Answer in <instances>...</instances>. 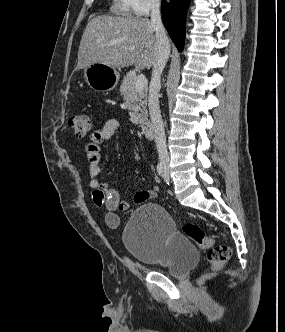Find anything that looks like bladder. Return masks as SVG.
Wrapping results in <instances>:
<instances>
[{"instance_id": "obj_1", "label": "bladder", "mask_w": 285, "mask_h": 332, "mask_svg": "<svg viewBox=\"0 0 285 332\" xmlns=\"http://www.w3.org/2000/svg\"><path fill=\"white\" fill-rule=\"evenodd\" d=\"M122 239L133 259L161 266L174 277L184 276L198 259L196 247L176 231L170 213L157 204L139 206L128 220Z\"/></svg>"}]
</instances>
